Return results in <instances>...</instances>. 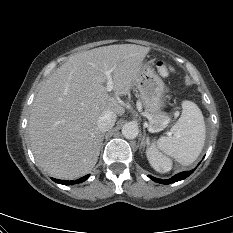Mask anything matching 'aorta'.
I'll list each match as a JSON object with an SVG mask.
<instances>
[{"label":"aorta","instance_id":"762f6f07","mask_svg":"<svg viewBox=\"0 0 233 233\" xmlns=\"http://www.w3.org/2000/svg\"><path fill=\"white\" fill-rule=\"evenodd\" d=\"M139 128L135 123H126L122 127V134L127 139H135L138 136Z\"/></svg>","mask_w":233,"mask_h":233}]
</instances>
